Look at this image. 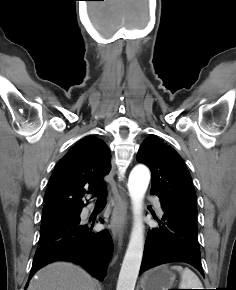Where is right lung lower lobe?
Wrapping results in <instances>:
<instances>
[{"label":"right lung lower lobe","mask_w":236,"mask_h":290,"mask_svg":"<svg viewBox=\"0 0 236 290\" xmlns=\"http://www.w3.org/2000/svg\"><path fill=\"white\" fill-rule=\"evenodd\" d=\"M100 222H103L100 219ZM113 248L108 230L94 232L93 226L81 225L80 220L40 233L29 280L37 270L57 260L82 265L99 280L105 271Z\"/></svg>","instance_id":"98d812e1"}]
</instances>
